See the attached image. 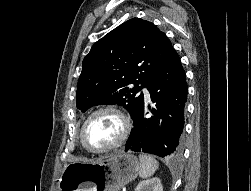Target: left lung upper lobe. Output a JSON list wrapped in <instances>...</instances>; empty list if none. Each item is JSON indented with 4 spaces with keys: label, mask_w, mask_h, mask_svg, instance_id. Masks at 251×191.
Instances as JSON below:
<instances>
[{
    "label": "left lung upper lobe",
    "mask_w": 251,
    "mask_h": 191,
    "mask_svg": "<svg viewBox=\"0 0 251 191\" xmlns=\"http://www.w3.org/2000/svg\"><path fill=\"white\" fill-rule=\"evenodd\" d=\"M172 49L166 35L151 22L133 18L121 24L85 56L77 108L85 112L99 104H119L134 121L144 100L143 93H138L148 86Z\"/></svg>",
    "instance_id": "obj_1"
}]
</instances>
